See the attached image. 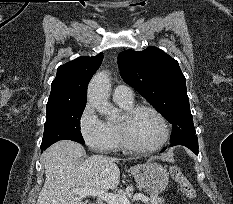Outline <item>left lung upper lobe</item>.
I'll list each match as a JSON object with an SVG mask.
<instances>
[{
	"mask_svg": "<svg viewBox=\"0 0 233 204\" xmlns=\"http://www.w3.org/2000/svg\"><path fill=\"white\" fill-rule=\"evenodd\" d=\"M122 79L138 90L173 128L170 142L195 135L185 77L178 62L156 47L118 56Z\"/></svg>",
	"mask_w": 233,
	"mask_h": 204,
	"instance_id": "obj_1",
	"label": "left lung upper lobe"
}]
</instances>
